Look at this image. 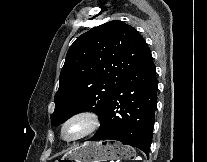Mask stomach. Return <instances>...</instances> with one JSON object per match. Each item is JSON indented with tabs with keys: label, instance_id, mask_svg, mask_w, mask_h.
<instances>
[{
	"label": "stomach",
	"instance_id": "stomach-1",
	"mask_svg": "<svg viewBox=\"0 0 207 162\" xmlns=\"http://www.w3.org/2000/svg\"><path fill=\"white\" fill-rule=\"evenodd\" d=\"M135 155L128 145L111 141L86 142L72 149L62 160L75 162H106L108 160H127Z\"/></svg>",
	"mask_w": 207,
	"mask_h": 162
}]
</instances>
